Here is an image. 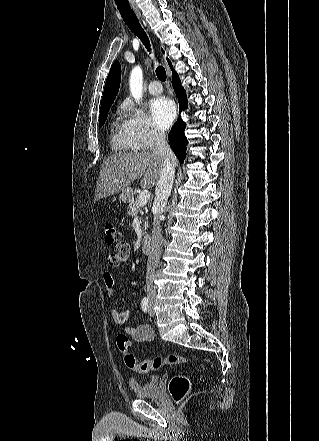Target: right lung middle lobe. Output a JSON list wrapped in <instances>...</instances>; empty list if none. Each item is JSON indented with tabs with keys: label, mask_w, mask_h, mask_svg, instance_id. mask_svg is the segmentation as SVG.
Here are the masks:
<instances>
[{
	"label": "right lung middle lobe",
	"mask_w": 319,
	"mask_h": 441,
	"mask_svg": "<svg viewBox=\"0 0 319 441\" xmlns=\"http://www.w3.org/2000/svg\"><path fill=\"white\" fill-rule=\"evenodd\" d=\"M109 109H110V107H106V108H103L100 110V115H99V126L100 127L105 123L107 116H108Z\"/></svg>",
	"instance_id": "dd1d6c3e"
}]
</instances>
